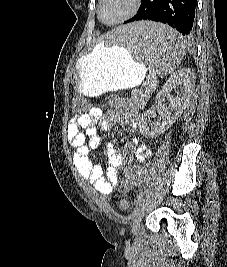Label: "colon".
<instances>
[{
	"label": "colon",
	"instance_id": "colon-1",
	"mask_svg": "<svg viewBox=\"0 0 227 267\" xmlns=\"http://www.w3.org/2000/svg\"><path fill=\"white\" fill-rule=\"evenodd\" d=\"M85 107V100L81 97L74 98L73 103L71 105V110H69V115H80L83 113V108ZM123 189L125 192H136V187H129L124 184Z\"/></svg>",
	"mask_w": 227,
	"mask_h": 267
}]
</instances>
